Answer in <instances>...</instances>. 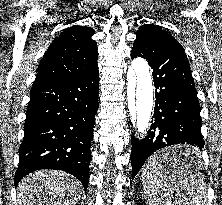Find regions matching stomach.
I'll use <instances>...</instances> for the list:
<instances>
[{
    "mask_svg": "<svg viewBox=\"0 0 222 205\" xmlns=\"http://www.w3.org/2000/svg\"><path fill=\"white\" fill-rule=\"evenodd\" d=\"M187 151L193 152L194 147L188 146V145L171 146V147H168V148L162 150L158 154H160L162 156H166L168 158H171L175 154L183 153V152H187ZM168 168L174 169L176 173H178L179 171H183V175H187L191 171L201 170V162L198 159L196 162H194L192 164H187V165L175 164V165H172V167L168 166Z\"/></svg>",
    "mask_w": 222,
    "mask_h": 205,
    "instance_id": "obj_1",
    "label": "stomach"
}]
</instances>
